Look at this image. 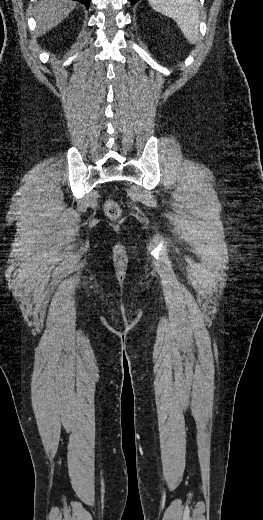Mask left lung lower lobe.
<instances>
[{
  "mask_svg": "<svg viewBox=\"0 0 263 520\" xmlns=\"http://www.w3.org/2000/svg\"><path fill=\"white\" fill-rule=\"evenodd\" d=\"M131 4H135L138 0H130Z\"/></svg>",
  "mask_w": 263,
  "mask_h": 520,
  "instance_id": "left-lung-lower-lobe-1",
  "label": "left lung lower lobe"
}]
</instances>
